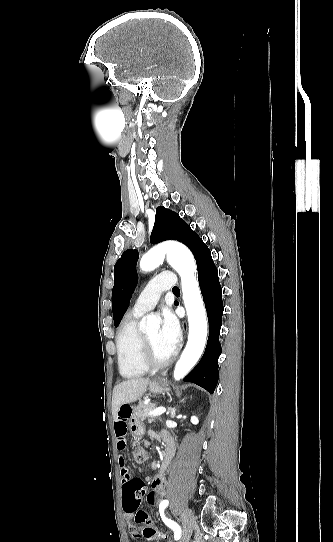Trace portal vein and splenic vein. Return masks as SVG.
<instances>
[{
  "instance_id": "1",
  "label": "portal vein and splenic vein",
  "mask_w": 333,
  "mask_h": 542,
  "mask_svg": "<svg viewBox=\"0 0 333 542\" xmlns=\"http://www.w3.org/2000/svg\"><path fill=\"white\" fill-rule=\"evenodd\" d=\"M166 408H163V406H160V408H156V410H153V412H148L146 418H155V416H161V414H165Z\"/></svg>"
}]
</instances>
